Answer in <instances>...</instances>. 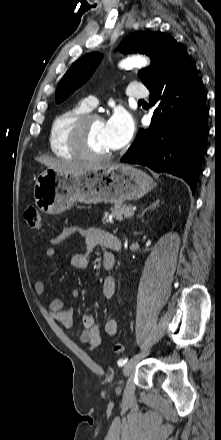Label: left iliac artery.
Segmentation results:
<instances>
[{
	"label": "left iliac artery",
	"mask_w": 221,
	"mask_h": 440,
	"mask_svg": "<svg viewBox=\"0 0 221 440\" xmlns=\"http://www.w3.org/2000/svg\"><path fill=\"white\" fill-rule=\"evenodd\" d=\"M127 363V359H120L119 361H118V365L119 366H123V365H125Z\"/></svg>",
	"instance_id": "obj_1"
}]
</instances>
